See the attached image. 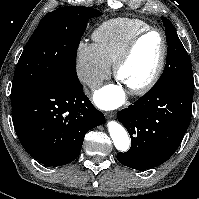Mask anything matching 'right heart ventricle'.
<instances>
[{"label":"right heart ventricle","mask_w":199,"mask_h":199,"mask_svg":"<svg viewBox=\"0 0 199 199\" xmlns=\"http://www.w3.org/2000/svg\"><path fill=\"white\" fill-rule=\"evenodd\" d=\"M150 28V25L136 18H118L99 25L93 32V39L103 57L111 64L138 33Z\"/></svg>","instance_id":"e07e8e85"}]
</instances>
